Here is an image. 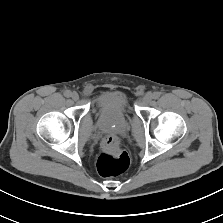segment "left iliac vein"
Listing matches in <instances>:
<instances>
[{
  "instance_id": "4c4485c4",
  "label": "left iliac vein",
  "mask_w": 223,
  "mask_h": 223,
  "mask_svg": "<svg viewBox=\"0 0 223 223\" xmlns=\"http://www.w3.org/2000/svg\"><path fill=\"white\" fill-rule=\"evenodd\" d=\"M153 99V94L148 92L144 95L142 101L144 104H148Z\"/></svg>"
}]
</instances>
